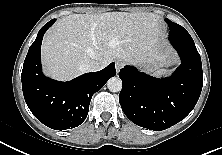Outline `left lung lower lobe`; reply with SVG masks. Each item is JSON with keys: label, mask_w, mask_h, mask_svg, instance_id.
<instances>
[{"label": "left lung lower lobe", "mask_w": 222, "mask_h": 155, "mask_svg": "<svg viewBox=\"0 0 222 155\" xmlns=\"http://www.w3.org/2000/svg\"><path fill=\"white\" fill-rule=\"evenodd\" d=\"M169 41L181 59L170 77L154 78L133 66L119 72L123 112L136 125L155 131L184 119L195 107L203 86L201 58L190 34L180 25L173 26Z\"/></svg>", "instance_id": "obj_1"}]
</instances>
